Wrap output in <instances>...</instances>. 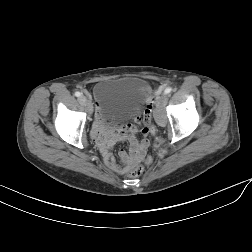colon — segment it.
Masks as SVG:
<instances>
[{"label": "colon", "mask_w": 252, "mask_h": 252, "mask_svg": "<svg viewBox=\"0 0 252 252\" xmlns=\"http://www.w3.org/2000/svg\"><path fill=\"white\" fill-rule=\"evenodd\" d=\"M153 104H154L153 99H150L148 101L146 109L144 111V123L146 125H152L151 124V112H152ZM148 161H151L150 157H148ZM143 171H144L143 165L139 164V165L132 167L128 171V176L132 177V178L139 177L143 173Z\"/></svg>", "instance_id": "5ec220e1"}]
</instances>
